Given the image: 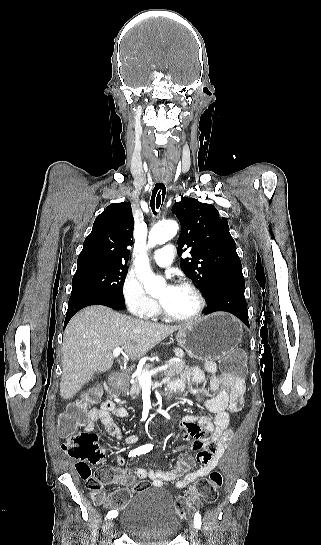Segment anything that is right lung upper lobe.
<instances>
[{
  "label": "right lung upper lobe",
  "mask_w": 321,
  "mask_h": 545,
  "mask_svg": "<svg viewBox=\"0 0 321 545\" xmlns=\"http://www.w3.org/2000/svg\"><path fill=\"white\" fill-rule=\"evenodd\" d=\"M134 218L128 202L109 205L94 221L78 256L77 268L89 265L127 267Z\"/></svg>",
  "instance_id": "cb5924a9"
}]
</instances>
